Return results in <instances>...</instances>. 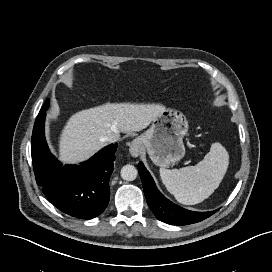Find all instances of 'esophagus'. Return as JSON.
I'll use <instances>...</instances> for the list:
<instances>
[{"instance_id":"1","label":"esophagus","mask_w":272,"mask_h":272,"mask_svg":"<svg viewBox=\"0 0 272 272\" xmlns=\"http://www.w3.org/2000/svg\"><path fill=\"white\" fill-rule=\"evenodd\" d=\"M142 147H141V141L139 139H135L132 141L129 152L133 157H138L141 153Z\"/></svg>"}]
</instances>
